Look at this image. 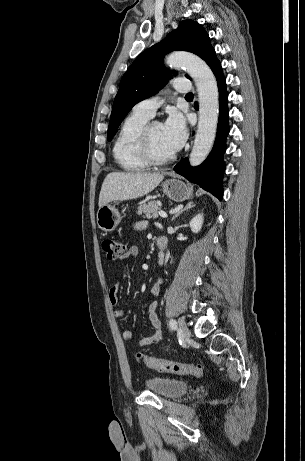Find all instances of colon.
I'll return each instance as SVG.
<instances>
[{
  "mask_svg": "<svg viewBox=\"0 0 305 461\" xmlns=\"http://www.w3.org/2000/svg\"><path fill=\"white\" fill-rule=\"evenodd\" d=\"M102 248L109 259L117 260L124 254L125 245L120 240L105 239L102 243ZM136 358L139 361H142L147 367L160 372L190 375L195 377H201L203 375V367L200 364H187L164 359H157L146 356L140 352L136 353Z\"/></svg>",
  "mask_w": 305,
  "mask_h": 461,
  "instance_id": "5ec220e1",
  "label": "colon"
}]
</instances>
